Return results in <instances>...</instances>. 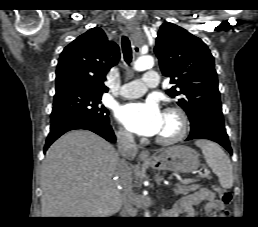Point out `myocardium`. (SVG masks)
I'll use <instances>...</instances> for the list:
<instances>
[{"label":"myocardium","mask_w":258,"mask_h":227,"mask_svg":"<svg viewBox=\"0 0 258 227\" xmlns=\"http://www.w3.org/2000/svg\"><path fill=\"white\" fill-rule=\"evenodd\" d=\"M164 114L174 116L178 121V131L170 137L157 136L156 142L160 145L168 146L181 141L187 134L189 121L185 112L177 107H168Z\"/></svg>","instance_id":"obj_1"}]
</instances>
